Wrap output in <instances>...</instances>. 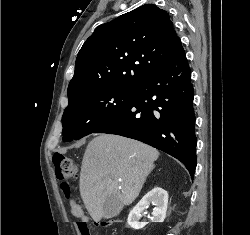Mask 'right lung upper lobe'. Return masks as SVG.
I'll return each mask as SVG.
<instances>
[{
    "instance_id": "obj_1",
    "label": "right lung upper lobe",
    "mask_w": 250,
    "mask_h": 235,
    "mask_svg": "<svg viewBox=\"0 0 250 235\" xmlns=\"http://www.w3.org/2000/svg\"><path fill=\"white\" fill-rule=\"evenodd\" d=\"M179 41L168 13L153 4L98 26L77 55L69 102L101 89H135L170 60Z\"/></svg>"
}]
</instances>
